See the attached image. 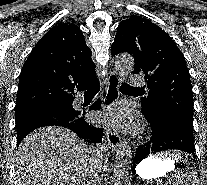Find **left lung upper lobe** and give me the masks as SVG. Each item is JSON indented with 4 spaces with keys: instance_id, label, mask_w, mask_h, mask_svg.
<instances>
[{
    "instance_id": "1",
    "label": "left lung upper lobe",
    "mask_w": 207,
    "mask_h": 185,
    "mask_svg": "<svg viewBox=\"0 0 207 185\" xmlns=\"http://www.w3.org/2000/svg\"><path fill=\"white\" fill-rule=\"evenodd\" d=\"M128 52L134 73L145 75L148 96L141 98L142 113L160 119L171 115L193 131V95L185 59L172 38L150 20L132 16L123 20L111 54Z\"/></svg>"
}]
</instances>
